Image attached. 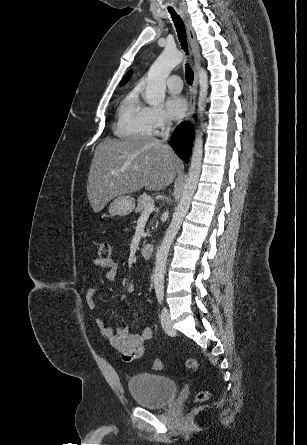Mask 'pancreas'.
I'll use <instances>...</instances> for the list:
<instances>
[{"label": "pancreas", "instance_id": "1", "mask_svg": "<svg viewBox=\"0 0 307 445\" xmlns=\"http://www.w3.org/2000/svg\"><path fill=\"white\" fill-rule=\"evenodd\" d=\"M149 202H153V198L149 194H140L139 198H137L135 212H143L146 204H149Z\"/></svg>", "mask_w": 307, "mask_h": 445}]
</instances>
